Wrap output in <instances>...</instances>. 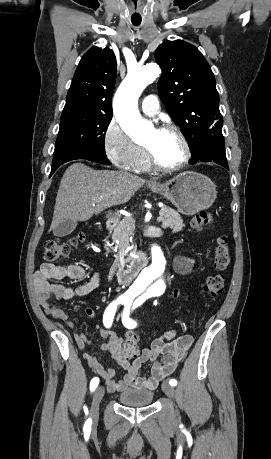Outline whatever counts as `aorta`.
<instances>
[{
	"instance_id": "762f6f07",
	"label": "aorta",
	"mask_w": 271,
	"mask_h": 459,
	"mask_svg": "<svg viewBox=\"0 0 271 459\" xmlns=\"http://www.w3.org/2000/svg\"><path fill=\"white\" fill-rule=\"evenodd\" d=\"M161 74L157 64H147L131 70L119 86L113 102L117 122L133 140H142L147 136L150 126L138 110V98L144 88L154 82ZM168 261L162 249L153 245L151 256L133 283L132 289L149 296H160L166 289L168 279Z\"/></svg>"
}]
</instances>
